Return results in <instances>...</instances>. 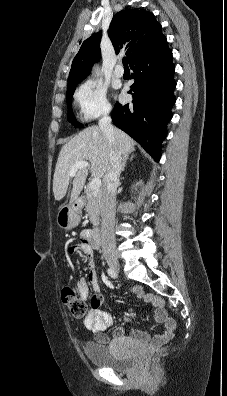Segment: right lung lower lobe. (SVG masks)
Segmentation results:
<instances>
[{"label": "right lung lower lobe", "instance_id": "98d812e1", "mask_svg": "<svg viewBox=\"0 0 227 396\" xmlns=\"http://www.w3.org/2000/svg\"><path fill=\"white\" fill-rule=\"evenodd\" d=\"M130 67L135 72L129 91L133 100L126 105L117 102L112 121L158 161L175 103V66L167 40L142 52Z\"/></svg>", "mask_w": 227, "mask_h": 396}]
</instances>
